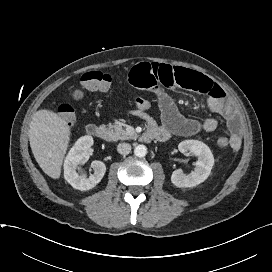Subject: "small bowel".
I'll return each instance as SVG.
<instances>
[{
	"instance_id": "c3829d8e",
	"label": "small bowel",
	"mask_w": 272,
	"mask_h": 272,
	"mask_svg": "<svg viewBox=\"0 0 272 272\" xmlns=\"http://www.w3.org/2000/svg\"><path fill=\"white\" fill-rule=\"evenodd\" d=\"M131 84L139 89L153 92L158 100L162 124H158L146 110L136 109L134 114L148 125V131L159 141H167L173 136H192L200 132H213L219 122L210 117L199 121L183 116L171 96L165 90L188 89L208 97L209 109L226 120L230 133L229 146L239 150L242 144L238 115L224 90L208 77L199 72L154 62H142L134 66L129 73Z\"/></svg>"
}]
</instances>
